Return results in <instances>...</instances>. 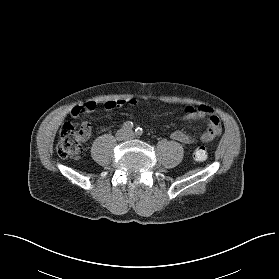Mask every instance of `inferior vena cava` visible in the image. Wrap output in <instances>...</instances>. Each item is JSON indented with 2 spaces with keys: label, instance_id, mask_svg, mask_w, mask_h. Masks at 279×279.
<instances>
[{
  "label": "inferior vena cava",
  "instance_id": "obj_1",
  "mask_svg": "<svg viewBox=\"0 0 279 279\" xmlns=\"http://www.w3.org/2000/svg\"><path fill=\"white\" fill-rule=\"evenodd\" d=\"M133 136V133L130 131H126L124 135L121 137L122 139H129Z\"/></svg>",
  "mask_w": 279,
  "mask_h": 279
}]
</instances>
